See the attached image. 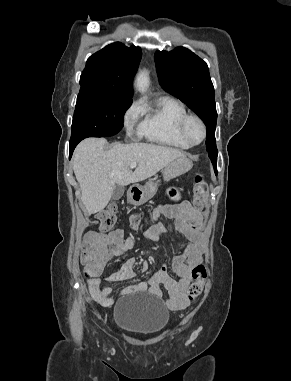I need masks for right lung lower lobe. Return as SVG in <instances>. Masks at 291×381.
<instances>
[{
  "label": "right lung lower lobe",
  "instance_id": "obj_1",
  "mask_svg": "<svg viewBox=\"0 0 291 381\" xmlns=\"http://www.w3.org/2000/svg\"><path fill=\"white\" fill-rule=\"evenodd\" d=\"M77 144H78V143H76V142H70L69 158H71L72 153H73L75 147L77 146Z\"/></svg>",
  "mask_w": 291,
  "mask_h": 381
}]
</instances>
